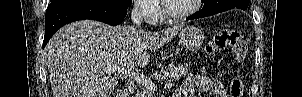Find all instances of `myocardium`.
<instances>
[{
  "label": "myocardium",
  "mask_w": 302,
  "mask_h": 97,
  "mask_svg": "<svg viewBox=\"0 0 302 97\" xmlns=\"http://www.w3.org/2000/svg\"><path fill=\"white\" fill-rule=\"evenodd\" d=\"M202 0H193V6L191 8H189L186 11L180 12V13H175L172 11L170 4H169V0H165L163 2L164 5V11L166 16L170 19V20H182L185 18H188L190 16H192L193 14H195L199 9H200V5H201Z\"/></svg>",
  "instance_id": "obj_1"
}]
</instances>
